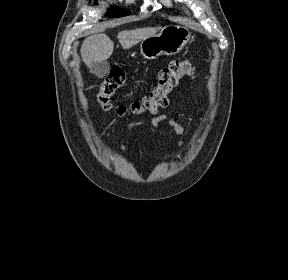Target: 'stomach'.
<instances>
[{
    "label": "stomach",
    "mask_w": 288,
    "mask_h": 280,
    "mask_svg": "<svg viewBox=\"0 0 288 280\" xmlns=\"http://www.w3.org/2000/svg\"><path fill=\"white\" fill-rule=\"evenodd\" d=\"M189 39L190 32L187 28L169 25L159 34L142 40L141 55L146 59H156L161 55H175L183 49Z\"/></svg>",
    "instance_id": "stomach-1"
}]
</instances>
